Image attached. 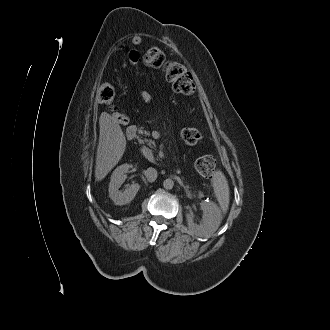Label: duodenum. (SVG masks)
Wrapping results in <instances>:
<instances>
[{"label":"duodenum","mask_w":330,"mask_h":330,"mask_svg":"<svg viewBox=\"0 0 330 330\" xmlns=\"http://www.w3.org/2000/svg\"><path fill=\"white\" fill-rule=\"evenodd\" d=\"M135 132H136V129L134 127H129L127 129V137L129 139H133L134 138V135H135ZM143 154L145 155L146 158L148 159H152L153 158V155L152 153L148 150V149H144L143 150Z\"/></svg>","instance_id":"1"}]
</instances>
